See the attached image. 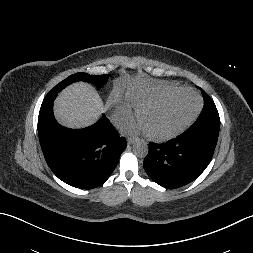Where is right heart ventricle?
I'll return each instance as SVG.
<instances>
[{
  "mask_svg": "<svg viewBox=\"0 0 253 253\" xmlns=\"http://www.w3.org/2000/svg\"><path fill=\"white\" fill-rule=\"evenodd\" d=\"M178 87L175 83H141L130 87L126 92V98L130 105L139 109L144 104L158 99Z\"/></svg>",
  "mask_w": 253,
  "mask_h": 253,
  "instance_id": "1",
  "label": "right heart ventricle"
}]
</instances>
